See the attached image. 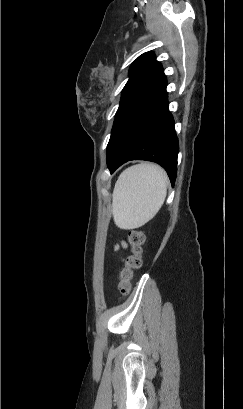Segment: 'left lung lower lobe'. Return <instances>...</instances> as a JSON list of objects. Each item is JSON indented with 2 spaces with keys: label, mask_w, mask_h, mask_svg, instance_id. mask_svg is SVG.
<instances>
[{
  "label": "left lung lower lobe",
  "mask_w": 243,
  "mask_h": 409,
  "mask_svg": "<svg viewBox=\"0 0 243 409\" xmlns=\"http://www.w3.org/2000/svg\"><path fill=\"white\" fill-rule=\"evenodd\" d=\"M167 80L161 68L128 106L115 127L118 152L108 165L111 174L129 160L161 165L174 186L178 139L168 110Z\"/></svg>",
  "instance_id": "left-lung-lower-lobe-1"
}]
</instances>
